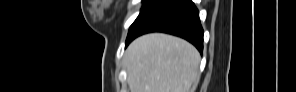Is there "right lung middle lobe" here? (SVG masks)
Returning <instances> with one entry per match:
<instances>
[{
	"instance_id": "1",
	"label": "right lung middle lobe",
	"mask_w": 296,
	"mask_h": 92,
	"mask_svg": "<svg viewBox=\"0 0 296 92\" xmlns=\"http://www.w3.org/2000/svg\"><path fill=\"white\" fill-rule=\"evenodd\" d=\"M156 0H143V6H142V9H141V12L139 14V16L137 17V19L143 14L144 11H146ZM136 19V20H137ZM135 20V21H136ZM135 23V22H134ZM133 23V24H134ZM132 24V25H133ZM131 25V26H132ZM131 28V27H130ZM130 30V29H129Z\"/></svg>"
}]
</instances>
